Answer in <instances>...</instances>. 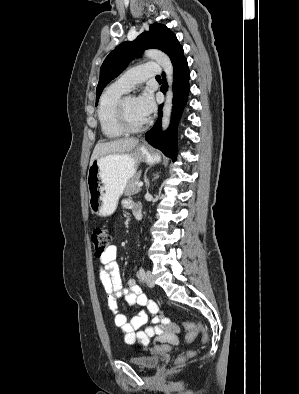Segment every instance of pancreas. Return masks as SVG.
I'll return each mask as SVG.
<instances>
[{"instance_id":"1","label":"pancreas","mask_w":299,"mask_h":394,"mask_svg":"<svg viewBox=\"0 0 299 394\" xmlns=\"http://www.w3.org/2000/svg\"><path fill=\"white\" fill-rule=\"evenodd\" d=\"M141 176V172L136 173L127 183L124 194L126 196H131L140 192V188L137 186L139 183V179Z\"/></svg>"}]
</instances>
